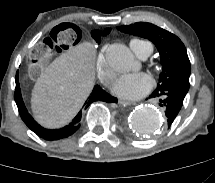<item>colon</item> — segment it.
<instances>
[{
    "label": "colon",
    "instance_id": "colon-1",
    "mask_svg": "<svg viewBox=\"0 0 215 183\" xmlns=\"http://www.w3.org/2000/svg\"><path fill=\"white\" fill-rule=\"evenodd\" d=\"M80 25L74 20H63L51 32L37 37L29 48L25 66L33 77L46 76L52 67L53 60L65 50L76 45L81 39Z\"/></svg>",
    "mask_w": 215,
    "mask_h": 183
}]
</instances>
